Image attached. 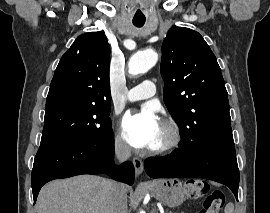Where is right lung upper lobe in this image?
<instances>
[{
    "mask_svg": "<svg viewBox=\"0 0 270 213\" xmlns=\"http://www.w3.org/2000/svg\"><path fill=\"white\" fill-rule=\"evenodd\" d=\"M109 64L110 46L103 32L78 36L56 68L46 107L62 103L110 105Z\"/></svg>",
    "mask_w": 270,
    "mask_h": 213,
    "instance_id": "1",
    "label": "right lung upper lobe"
}]
</instances>
